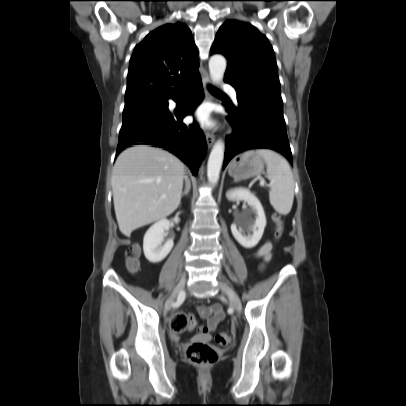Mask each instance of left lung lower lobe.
Listing matches in <instances>:
<instances>
[{"label":"left lung lower lobe","mask_w":406,"mask_h":406,"mask_svg":"<svg viewBox=\"0 0 406 406\" xmlns=\"http://www.w3.org/2000/svg\"><path fill=\"white\" fill-rule=\"evenodd\" d=\"M233 127L226 139L224 168L236 154L255 148H268L284 155L292 164V154L281 106L251 100L226 107Z\"/></svg>","instance_id":"0a47b994"}]
</instances>
